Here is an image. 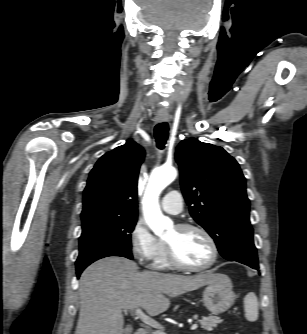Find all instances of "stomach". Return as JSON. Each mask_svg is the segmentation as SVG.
Returning <instances> with one entry per match:
<instances>
[{
  "label": "stomach",
  "mask_w": 307,
  "mask_h": 334,
  "mask_svg": "<svg viewBox=\"0 0 307 334\" xmlns=\"http://www.w3.org/2000/svg\"><path fill=\"white\" fill-rule=\"evenodd\" d=\"M215 280L208 284L203 291L205 307L215 315L227 311L236 298L230 278L221 273L214 274Z\"/></svg>",
  "instance_id": "0dacf381"
}]
</instances>
